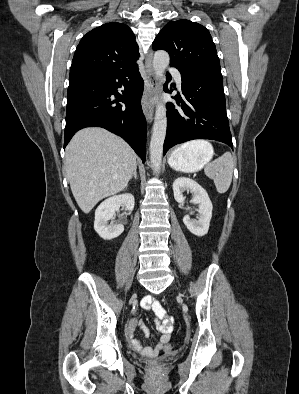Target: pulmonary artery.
Listing matches in <instances>:
<instances>
[{"label": "pulmonary artery", "instance_id": "e3ab8cb5", "mask_svg": "<svg viewBox=\"0 0 299 394\" xmlns=\"http://www.w3.org/2000/svg\"><path fill=\"white\" fill-rule=\"evenodd\" d=\"M169 72L174 76L178 86L182 85V80H181V74L178 70L176 69H170Z\"/></svg>", "mask_w": 299, "mask_h": 394}]
</instances>
